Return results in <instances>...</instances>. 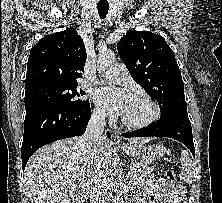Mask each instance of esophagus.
<instances>
[{"mask_svg":"<svg viewBox=\"0 0 222 203\" xmlns=\"http://www.w3.org/2000/svg\"><path fill=\"white\" fill-rule=\"evenodd\" d=\"M114 142L115 144H118V145H121L122 144V141H121V138L119 135L115 134L114 136Z\"/></svg>","mask_w":222,"mask_h":203,"instance_id":"obj_1","label":"esophagus"}]
</instances>
